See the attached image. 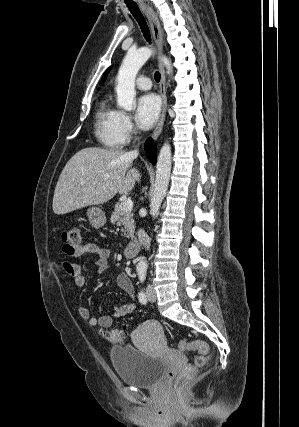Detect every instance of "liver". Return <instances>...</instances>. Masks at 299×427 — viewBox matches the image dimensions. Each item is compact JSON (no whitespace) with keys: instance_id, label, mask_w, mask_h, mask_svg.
I'll return each instance as SVG.
<instances>
[{"instance_id":"liver-1","label":"liver","mask_w":299,"mask_h":427,"mask_svg":"<svg viewBox=\"0 0 299 427\" xmlns=\"http://www.w3.org/2000/svg\"><path fill=\"white\" fill-rule=\"evenodd\" d=\"M137 154L98 147L84 148L65 165L58 179L53 211L66 214L106 203L117 193L131 191L141 174L131 168Z\"/></svg>"}]
</instances>
